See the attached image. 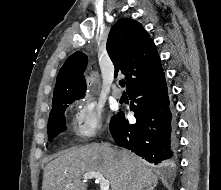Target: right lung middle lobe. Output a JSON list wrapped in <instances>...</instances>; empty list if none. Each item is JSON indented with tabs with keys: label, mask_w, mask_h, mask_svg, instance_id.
<instances>
[{
	"label": "right lung middle lobe",
	"mask_w": 221,
	"mask_h": 190,
	"mask_svg": "<svg viewBox=\"0 0 221 190\" xmlns=\"http://www.w3.org/2000/svg\"><path fill=\"white\" fill-rule=\"evenodd\" d=\"M73 101L74 100L62 101L52 104V110L50 112L47 126L49 140H52L60 132L66 130L64 111L67 107V104L72 103Z\"/></svg>",
	"instance_id": "1"
}]
</instances>
